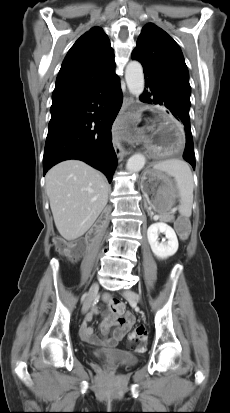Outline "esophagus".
Listing matches in <instances>:
<instances>
[{
	"label": "esophagus",
	"instance_id": "obj_1",
	"mask_svg": "<svg viewBox=\"0 0 230 413\" xmlns=\"http://www.w3.org/2000/svg\"><path fill=\"white\" fill-rule=\"evenodd\" d=\"M134 103V100H133V98H126V105H127V107H129L131 104H133ZM115 152H116V154H117V156H124V155H126L127 154V152L124 150V148L122 147V145H120V144H117L116 146H115Z\"/></svg>",
	"mask_w": 230,
	"mask_h": 413
}]
</instances>
